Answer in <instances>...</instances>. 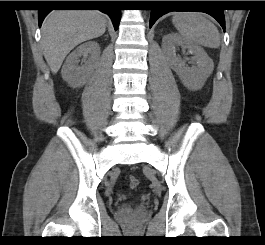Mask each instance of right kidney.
<instances>
[{
	"mask_svg": "<svg viewBox=\"0 0 265 245\" xmlns=\"http://www.w3.org/2000/svg\"><path fill=\"white\" fill-rule=\"evenodd\" d=\"M81 57L84 64L78 66ZM99 57L100 46L97 42L89 41L80 45L67 57L61 71L62 78L73 88L83 86L96 68Z\"/></svg>",
	"mask_w": 265,
	"mask_h": 245,
	"instance_id": "1",
	"label": "right kidney"
}]
</instances>
